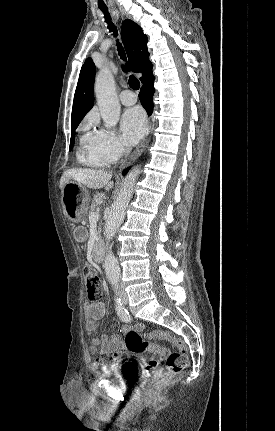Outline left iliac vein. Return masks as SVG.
<instances>
[{"label": "left iliac vein", "instance_id": "left-iliac-vein-1", "mask_svg": "<svg viewBox=\"0 0 275 431\" xmlns=\"http://www.w3.org/2000/svg\"><path fill=\"white\" fill-rule=\"evenodd\" d=\"M121 298H122V301H123L124 304L128 303V296H127V294L125 292H123L121 294Z\"/></svg>", "mask_w": 275, "mask_h": 431}]
</instances>
